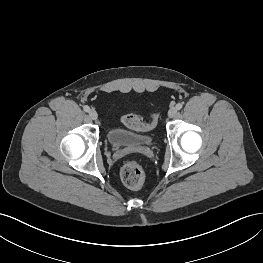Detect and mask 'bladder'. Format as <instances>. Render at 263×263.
Wrapping results in <instances>:
<instances>
[{
  "label": "bladder",
  "mask_w": 263,
  "mask_h": 263,
  "mask_svg": "<svg viewBox=\"0 0 263 263\" xmlns=\"http://www.w3.org/2000/svg\"><path fill=\"white\" fill-rule=\"evenodd\" d=\"M106 138L114 147H140L151 143L149 135L136 133L125 127L116 125L108 127Z\"/></svg>",
  "instance_id": "bladder-1"
}]
</instances>
